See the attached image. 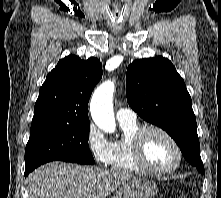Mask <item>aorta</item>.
<instances>
[{
	"label": "aorta",
	"mask_w": 221,
	"mask_h": 198,
	"mask_svg": "<svg viewBox=\"0 0 221 198\" xmlns=\"http://www.w3.org/2000/svg\"><path fill=\"white\" fill-rule=\"evenodd\" d=\"M114 91V82L105 81L94 91L90 102V112L94 123L107 133H113L116 130L112 103Z\"/></svg>",
	"instance_id": "aorta-1"
}]
</instances>
